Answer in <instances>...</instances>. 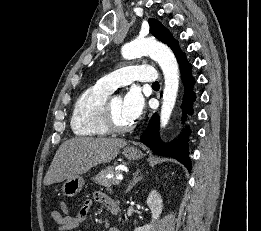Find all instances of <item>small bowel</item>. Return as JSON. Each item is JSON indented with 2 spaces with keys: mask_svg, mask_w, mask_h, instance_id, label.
I'll list each match as a JSON object with an SVG mask.
<instances>
[{
  "mask_svg": "<svg viewBox=\"0 0 261 231\" xmlns=\"http://www.w3.org/2000/svg\"><path fill=\"white\" fill-rule=\"evenodd\" d=\"M93 201H96L106 207L110 202H114L108 195L103 193H96L93 199H87L83 202L75 216H71L68 211L63 212L60 209H54L51 211V219L56 223V231H72L77 230L84 222L89 210L92 206ZM109 231H120L119 229L113 227Z\"/></svg>",
  "mask_w": 261,
  "mask_h": 231,
  "instance_id": "obj_1",
  "label": "small bowel"
}]
</instances>
